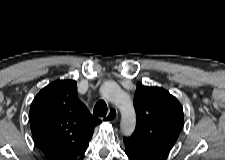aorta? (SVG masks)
Instances as JSON below:
<instances>
[{
  "instance_id": "aorta-1",
  "label": "aorta",
  "mask_w": 225,
  "mask_h": 160,
  "mask_svg": "<svg viewBox=\"0 0 225 160\" xmlns=\"http://www.w3.org/2000/svg\"><path fill=\"white\" fill-rule=\"evenodd\" d=\"M100 93L104 99L117 106L121 115V130L125 135H130L136 123V113L131 99L114 83L103 85Z\"/></svg>"
}]
</instances>
